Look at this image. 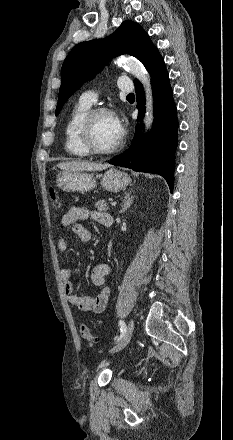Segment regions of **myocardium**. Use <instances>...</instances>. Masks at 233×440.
Here are the masks:
<instances>
[{"mask_svg": "<svg viewBox=\"0 0 233 440\" xmlns=\"http://www.w3.org/2000/svg\"><path fill=\"white\" fill-rule=\"evenodd\" d=\"M103 114H109L114 116V112L109 108L98 107V108L90 109V111L85 115L79 126V130H78L79 141L81 145L84 147V149L87 152H89V154L100 155V156L111 155L118 152L124 144L125 134L123 130H121V134L118 141L111 148L101 149L94 144L92 139L93 122L98 116Z\"/></svg>", "mask_w": 233, "mask_h": 440, "instance_id": "myocardium-1", "label": "myocardium"}]
</instances>
